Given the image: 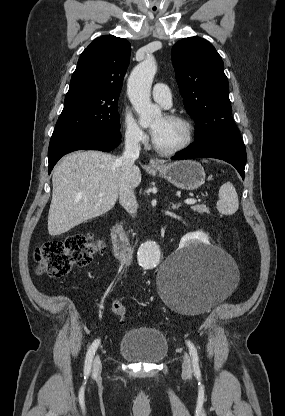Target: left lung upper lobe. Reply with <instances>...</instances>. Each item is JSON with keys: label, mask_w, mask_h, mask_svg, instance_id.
<instances>
[{"label": "left lung upper lobe", "mask_w": 285, "mask_h": 416, "mask_svg": "<svg viewBox=\"0 0 285 416\" xmlns=\"http://www.w3.org/2000/svg\"><path fill=\"white\" fill-rule=\"evenodd\" d=\"M172 62L188 114L196 122L195 138L235 128L223 61L207 40L184 38L172 48Z\"/></svg>", "instance_id": "1"}]
</instances>
